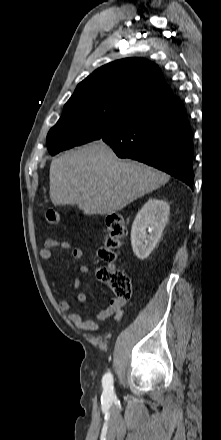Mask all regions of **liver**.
<instances>
[{
	"label": "liver",
	"mask_w": 221,
	"mask_h": 440,
	"mask_svg": "<svg viewBox=\"0 0 221 440\" xmlns=\"http://www.w3.org/2000/svg\"><path fill=\"white\" fill-rule=\"evenodd\" d=\"M49 178L52 203L77 204L86 215L115 213L169 180L157 169L118 159L101 140L53 159Z\"/></svg>",
	"instance_id": "obj_1"
}]
</instances>
